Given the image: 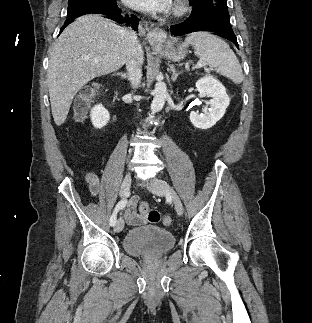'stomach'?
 <instances>
[{
    "label": "stomach",
    "mask_w": 312,
    "mask_h": 323,
    "mask_svg": "<svg viewBox=\"0 0 312 323\" xmlns=\"http://www.w3.org/2000/svg\"><path fill=\"white\" fill-rule=\"evenodd\" d=\"M177 42L178 38H169L164 42L165 48H162L167 60H171V62H180L187 54L184 44H177Z\"/></svg>",
    "instance_id": "stomach-1"
}]
</instances>
